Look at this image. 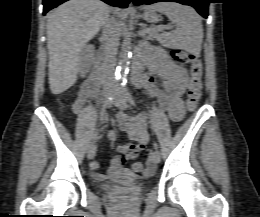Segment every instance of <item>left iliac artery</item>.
I'll list each match as a JSON object with an SVG mask.
<instances>
[{"label": "left iliac artery", "mask_w": 260, "mask_h": 217, "mask_svg": "<svg viewBox=\"0 0 260 217\" xmlns=\"http://www.w3.org/2000/svg\"><path fill=\"white\" fill-rule=\"evenodd\" d=\"M122 90H123V93L126 96L128 102L132 105H135L134 99H133L132 95L130 94V92L128 91L126 82L122 83ZM153 146L155 149H157L158 148L157 142H154Z\"/></svg>", "instance_id": "obj_1"}]
</instances>
